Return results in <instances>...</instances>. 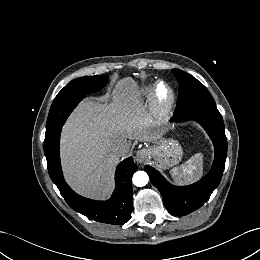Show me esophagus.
Returning a JSON list of instances; mask_svg holds the SVG:
<instances>
[{"mask_svg":"<svg viewBox=\"0 0 260 260\" xmlns=\"http://www.w3.org/2000/svg\"><path fill=\"white\" fill-rule=\"evenodd\" d=\"M148 155L149 154L147 149L139 150L135 156V160L138 163H143L147 159Z\"/></svg>","mask_w":260,"mask_h":260,"instance_id":"esophagus-1","label":"esophagus"}]
</instances>
